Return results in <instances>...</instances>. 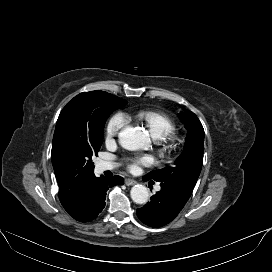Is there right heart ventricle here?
<instances>
[{
	"label": "right heart ventricle",
	"mask_w": 272,
	"mask_h": 272,
	"mask_svg": "<svg viewBox=\"0 0 272 272\" xmlns=\"http://www.w3.org/2000/svg\"><path fill=\"white\" fill-rule=\"evenodd\" d=\"M136 118L145 122L150 133L155 138L165 137L175 130L174 122L169 117L159 112L142 111L137 114Z\"/></svg>",
	"instance_id": "obj_1"
}]
</instances>
